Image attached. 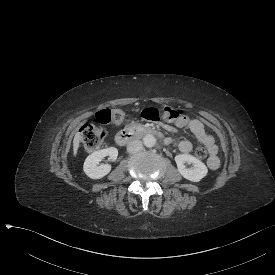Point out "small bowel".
<instances>
[{
	"mask_svg": "<svg viewBox=\"0 0 275 275\" xmlns=\"http://www.w3.org/2000/svg\"><path fill=\"white\" fill-rule=\"evenodd\" d=\"M178 128L188 129L196 138V140L204 145L210 152V157L207 165L211 170H216L220 165V160L217 157V146L212 135L206 132L203 123L196 118H186L177 123ZM173 130V128H171ZM170 143V142H169ZM177 149L182 153H189L192 150V143L188 140L173 142Z\"/></svg>",
	"mask_w": 275,
	"mask_h": 275,
	"instance_id": "obj_1",
	"label": "small bowel"
}]
</instances>
